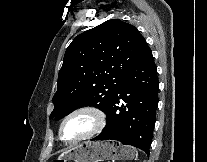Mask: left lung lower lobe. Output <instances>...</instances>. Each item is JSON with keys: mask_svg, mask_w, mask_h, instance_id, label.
<instances>
[{"mask_svg": "<svg viewBox=\"0 0 207 162\" xmlns=\"http://www.w3.org/2000/svg\"><path fill=\"white\" fill-rule=\"evenodd\" d=\"M158 89L157 68L149 50L118 87L106 113L107 125L92 140H116L149 155L158 106Z\"/></svg>", "mask_w": 207, "mask_h": 162, "instance_id": "1", "label": "left lung lower lobe"}]
</instances>
